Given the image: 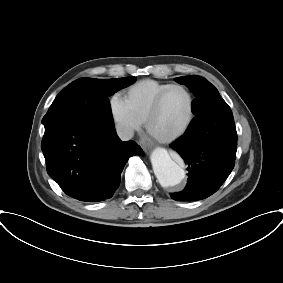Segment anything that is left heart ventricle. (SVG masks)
Returning <instances> with one entry per match:
<instances>
[{"label":"left heart ventricle","instance_id":"left-heart-ventricle-1","mask_svg":"<svg viewBox=\"0 0 283 283\" xmlns=\"http://www.w3.org/2000/svg\"><path fill=\"white\" fill-rule=\"evenodd\" d=\"M189 112V98L181 89L171 90L164 98L160 110L152 121V131L167 136L177 131L185 122Z\"/></svg>","mask_w":283,"mask_h":283}]
</instances>
